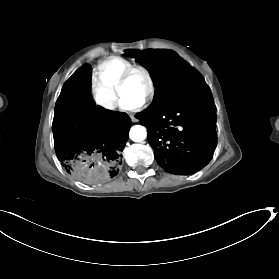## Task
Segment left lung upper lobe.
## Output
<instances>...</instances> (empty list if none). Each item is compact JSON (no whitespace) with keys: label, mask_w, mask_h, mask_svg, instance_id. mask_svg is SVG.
<instances>
[{"label":"left lung upper lobe","mask_w":279,"mask_h":279,"mask_svg":"<svg viewBox=\"0 0 279 279\" xmlns=\"http://www.w3.org/2000/svg\"><path fill=\"white\" fill-rule=\"evenodd\" d=\"M127 54L143 64L154 81V99L144 114L157 115L192 93L206 87L198 72L174 51L127 50Z\"/></svg>","instance_id":"5c2ea615"}]
</instances>
